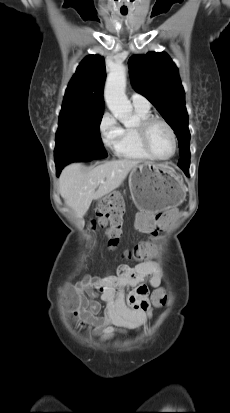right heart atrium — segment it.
I'll return each instance as SVG.
<instances>
[{"instance_id":"1","label":"right heart atrium","mask_w":230,"mask_h":413,"mask_svg":"<svg viewBox=\"0 0 230 413\" xmlns=\"http://www.w3.org/2000/svg\"><path fill=\"white\" fill-rule=\"evenodd\" d=\"M98 128L103 145L106 148L115 150L121 135V127L115 117L111 113L105 112L101 117Z\"/></svg>"}]
</instances>
